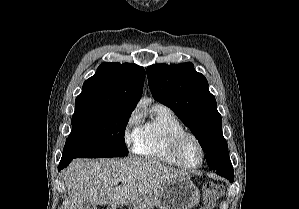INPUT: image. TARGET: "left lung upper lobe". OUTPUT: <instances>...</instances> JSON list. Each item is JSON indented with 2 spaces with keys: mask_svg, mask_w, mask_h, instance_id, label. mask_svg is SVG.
Wrapping results in <instances>:
<instances>
[{
  "mask_svg": "<svg viewBox=\"0 0 299 209\" xmlns=\"http://www.w3.org/2000/svg\"><path fill=\"white\" fill-rule=\"evenodd\" d=\"M147 76L154 99L172 109L189 127L206 153L208 166L218 169L231 162L215 97L194 65L155 64L147 68Z\"/></svg>",
  "mask_w": 299,
  "mask_h": 209,
  "instance_id": "obj_1",
  "label": "left lung upper lobe"
}]
</instances>
